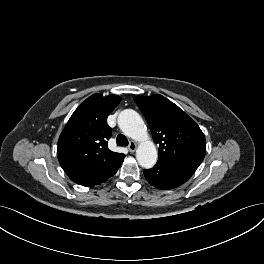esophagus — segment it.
<instances>
[{"mask_svg":"<svg viewBox=\"0 0 264 264\" xmlns=\"http://www.w3.org/2000/svg\"><path fill=\"white\" fill-rule=\"evenodd\" d=\"M136 148H137V143L134 142V141H131V142L129 143L128 150H129L131 153H133V152H135Z\"/></svg>","mask_w":264,"mask_h":264,"instance_id":"obj_1","label":"esophagus"}]
</instances>
